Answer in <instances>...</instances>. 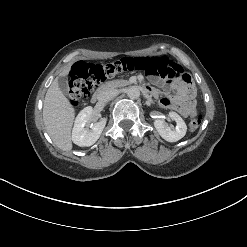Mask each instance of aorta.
<instances>
[{
    "label": "aorta",
    "instance_id": "obj_1",
    "mask_svg": "<svg viewBox=\"0 0 247 247\" xmlns=\"http://www.w3.org/2000/svg\"><path fill=\"white\" fill-rule=\"evenodd\" d=\"M127 95L130 99H137L140 96V90L136 86L127 89Z\"/></svg>",
    "mask_w": 247,
    "mask_h": 247
}]
</instances>
